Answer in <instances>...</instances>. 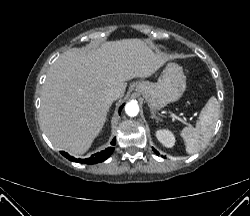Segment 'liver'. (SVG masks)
<instances>
[{"label": "liver", "instance_id": "6515ba94", "mask_svg": "<svg viewBox=\"0 0 250 216\" xmlns=\"http://www.w3.org/2000/svg\"><path fill=\"white\" fill-rule=\"evenodd\" d=\"M167 58L141 39H123L99 48L70 49L50 67L43 85L40 124L51 143L74 155L84 154L106 121L112 101L126 81L153 75Z\"/></svg>", "mask_w": 250, "mask_h": 216}]
</instances>
